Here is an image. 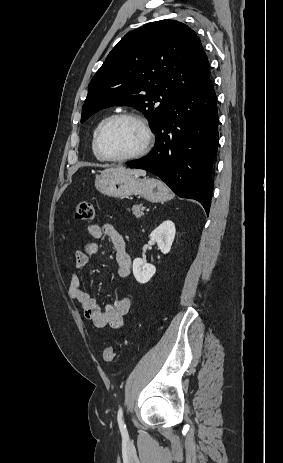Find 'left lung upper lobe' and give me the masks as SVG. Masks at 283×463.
Listing matches in <instances>:
<instances>
[{"label":"left lung upper lobe","instance_id":"1","mask_svg":"<svg viewBox=\"0 0 283 463\" xmlns=\"http://www.w3.org/2000/svg\"><path fill=\"white\" fill-rule=\"evenodd\" d=\"M208 77V58L190 27L175 20L146 24L126 34L96 72L81 122L126 104L142 111L155 131L171 107Z\"/></svg>","mask_w":283,"mask_h":463}]
</instances>
